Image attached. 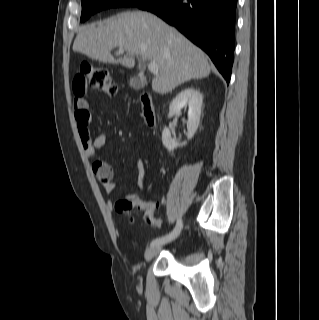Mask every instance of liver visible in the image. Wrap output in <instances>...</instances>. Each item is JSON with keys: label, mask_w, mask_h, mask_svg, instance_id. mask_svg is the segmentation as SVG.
<instances>
[{"label": "liver", "mask_w": 319, "mask_h": 320, "mask_svg": "<svg viewBox=\"0 0 319 320\" xmlns=\"http://www.w3.org/2000/svg\"><path fill=\"white\" fill-rule=\"evenodd\" d=\"M114 48L124 49L126 55L115 59L111 55ZM72 49L129 69L135 66V57L156 62L159 71L152 89L159 94L169 93L191 79L208 77L211 72L201 49L160 18L142 11L120 13L82 27Z\"/></svg>", "instance_id": "liver-1"}]
</instances>
